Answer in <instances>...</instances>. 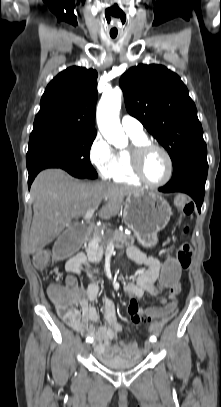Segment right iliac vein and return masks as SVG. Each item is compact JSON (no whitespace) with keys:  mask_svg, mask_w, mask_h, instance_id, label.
Returning <instances> with one entry per match:
<instances>
[{"mask_svg":"<svg viewBox=\"0 0 221 407\" xmlns=\"http://www.w3.org/2000/svg\"><path fill=\"white\" fill-rule=\"evenodd\" d=\"M89 348H90L89 343H85V344L83 345V353H84V354H87L88 351H89Z\"/></svg>","mask_w":221,"mask_h":407,"instance_id":"right-iliac-vein-1","label":"right iliac vein"}]
</instances>
